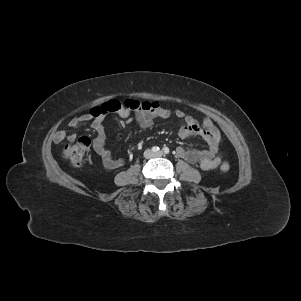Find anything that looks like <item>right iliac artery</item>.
Returning a JSON list of instances; mask_svg holds the SVG:
<instances>
[{
  "label": "right iliac artery",
  "instance_id": "82829eb1",
  "mask_svg": "<svg viewBox=\"0 0 301 301\" xmlns=\"http://www.w3.org/2000/svg\"><path fill=\"white\" fill-rule=\"evenodd\" d=\"M152 151L155 152V153L158 152L159 151V147L158 146L152 147Z\"/></svg>",
  "mask_w": 301,
  "mask_h": 301
}]
</instances>
